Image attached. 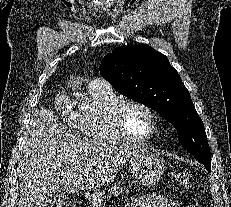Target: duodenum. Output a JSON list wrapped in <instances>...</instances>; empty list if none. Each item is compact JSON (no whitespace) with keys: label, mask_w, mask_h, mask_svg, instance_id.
<instances>
[{"label":"duodenum","mask_w":231,"mask_h":207,"mask_svg":"<svg viewBox=\"0 0 231 207\" xmlns=\"http://www.w3.org/2000/svg\"><path fill=\"white\" fill-rule=\"evenodd\" d=\"M94 197V194L90 193L89 198L92 199Z\"/></svg>","instance_id":"obj_1"}]
</instances>
